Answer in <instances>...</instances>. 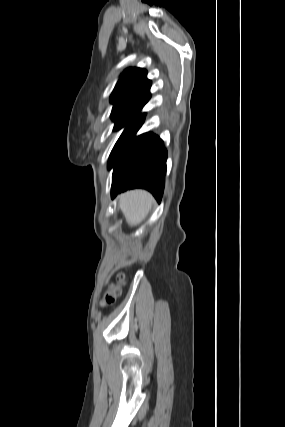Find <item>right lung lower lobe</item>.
<instances>
[{"label": "right lung lower lobe", "mask_w": 285, "mask_h": 427, "mask_svg": "<svg viewBox=\"0 0 285 427\" xmlns=\"http://www.w3.org/2000/svg\"><path fill=\"white\" fill-rule=\"evenodd\" d=\"M141 125L128 139L112 165L111 196L114 198L131 188H145L160 202L164 190L167 151L163 141L153 133L135 137Z\"/></svg>", "instance_id": "obj_1"}]
</instances>
